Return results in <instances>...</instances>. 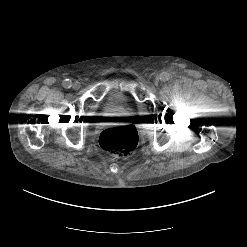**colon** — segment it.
Masks as SVG:
<instances>
[{
  "label": "colon",
  "instance_id": "obj_1",
  "mask_svg": "<svg viewBox=\"0 0 247 247\" xmlns=\"http://www.w3.org/2000/svg\"><path fill=\"white\" fill-rule=\"evenodd\" d=\"M99 144L104 151L118 158H126L136 151L138 134L130 125L108 128L101 132Z\"/></svg>",
  "mask_w": 247,
  "mask_h": 247
}]
</instances>
